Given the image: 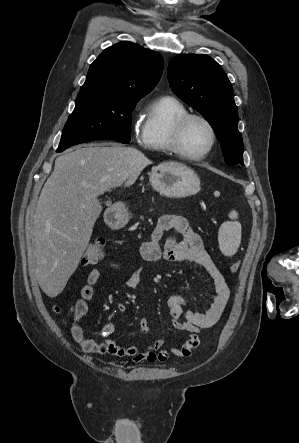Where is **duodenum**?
<instances>
[{"instance_id":"1","label":"duodenum","mask_w":299,"mask_h":443,"mask_svg":"<svg viewBox=\"0 0 299 443\" xmlns=\"http://www.w3.org/2000/svg\"><path fill=\"white\" fill-rule=\"evenodd\" d=\"M111 224L114 225V224H115V221H114V220H111Z\"/></svg>"}]
</instances>
